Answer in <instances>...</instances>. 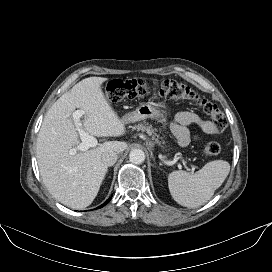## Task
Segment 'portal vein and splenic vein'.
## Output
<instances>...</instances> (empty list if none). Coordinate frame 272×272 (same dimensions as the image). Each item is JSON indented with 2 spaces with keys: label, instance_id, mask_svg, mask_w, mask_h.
Instances as JSON below:
<instances>
[{
  "label": "portal vein and splenic vein",
  "instance_id": "obj_1",
  "mask_svg": "<svg viewBox=\"0 0 272 272\" xmlns=\"http://www.w3.org/2000/svg\"><path fill=\"white\" fill-rule=\"evenodd\" d=\"M84 114V111L82 110H76L72 114V118L74 120L75 126L77 131L79 132L80 138L82 142L76 146L75 148H72L69 151L70 155L76 154L77 151H87L91 147H96L98 145V141L95 137L89 135L82 129V124L80 122L81 116ZM195 170L194 166H191V171L193 172Z\"/></svg>",
  "mask_w": 272,
  "mask_h": 272
}]
</instances>
